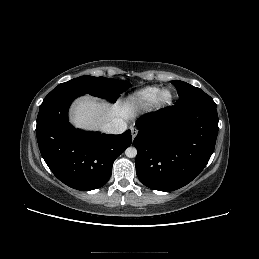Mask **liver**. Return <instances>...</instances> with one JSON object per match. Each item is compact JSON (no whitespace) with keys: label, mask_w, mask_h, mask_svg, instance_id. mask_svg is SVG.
Returning a JSON list of instances; mask_svg holds the SVG:
<instances>
[{"label":"liver","mask_w":259,"mask_h":259,"mask_svg":"<svg viewBox=\"0 0 259 259\" xmlns=\"http://www.w3.org/2000/svg\"><path fill=\"white\" fill-rule=\"evenodd\" d=\"M132 115V106L128 103L117 101L109 106L94 98L83 97L72 106L70 119L75 127L95 130L114 119L128 120Z\"/></svg>","instance_id":"1"}]
</instances>
